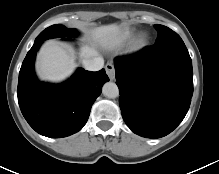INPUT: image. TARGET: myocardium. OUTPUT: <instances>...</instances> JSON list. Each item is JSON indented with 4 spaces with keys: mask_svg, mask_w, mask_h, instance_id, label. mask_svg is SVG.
I'll use <instances>...</instances> for the list:
<instances>
[{
    "mask_svg": "<svg viewBox=\"0 0 219 174\" xmlns=\"http://www.w3.org/2000/svg\"><path fill=\"white\" fill-rule=\"evenodd\" d=\"M145 41H146V36H145V35L139 37V38L136 40V42H135L134 48H135V49H139V48L143 47L144 44H145Z\"/></svg>",
    "mask_w": 219,
    "mask_h": 174,
    "instance_id": "f54148a6",
    "label": "myocardium"
}]
</instances>
